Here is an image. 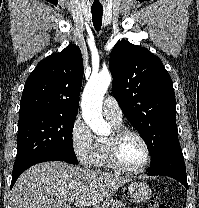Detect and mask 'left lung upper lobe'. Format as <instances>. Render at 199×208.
Wrapping results in <instances>:
<instances>
[{"instance_id": "obj_1", "label": "left lung upper lobe", "mask_w": 199, "mask_h": 208, "mask_svg": "<svg viewBox=\"0 0 199 208\" xmlns=\"http://www.w3.org/2000/svg\"><path fill=\"white\" fill-rule=\"evenodd\" d=\"M109 68L113 96L146 142L152 163L179 142L171 77L156 55L127 41L116 43Z\"/></svg>"}]
</instances>
